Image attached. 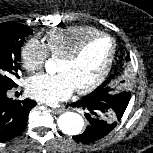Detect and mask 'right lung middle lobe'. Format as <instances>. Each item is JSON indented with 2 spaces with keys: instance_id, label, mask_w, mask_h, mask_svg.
Returning <instances> with one entry per match:
<instances>
[{
  "instance_id": "1",
  "label": "right lung middle lobe",
  "mask_w": 153,
  "mask_h": 153,
  "mask_svg": "<svg viewBox=\"0 0 153 153\" xmlns=\"http://www.w3.org/2000/svg\"><path fill=\"white\" fill-rule=\"evenodd\" d=\"M32 33L29 27L17 23L0 24V87L11 89L17 86L14 80L19 78L21 69L20 48Z\"/></svg>"
}]
</instances>
